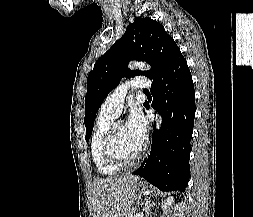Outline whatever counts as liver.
Wrapping results in <instances>:
<instances>
[{"instance_id": "1", "label": "liver", "mask_w": 253, "mask_h": 217, "mask_svg": "<svg viewBox=\"0 0 253 217\" xmlns=\"http://www.w3.org/2000/svg\"><path fill=\"white\" fill-rule=\"evenodd\" d=\"M137 181L130 174L96 179L91 201L94 217H124L136 197Z\"/></svg>"}]
</instances>
